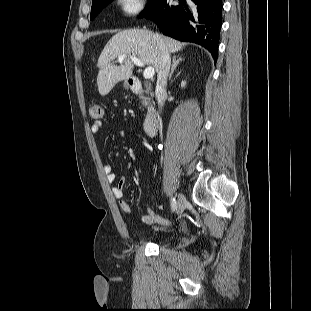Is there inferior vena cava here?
Returning a JSON list of instances; mask_svg holds the SVG:
<instances>
[{"instance_id": "obj_1", "label": "inferior vena cava", "mask_w": 311, "mask_h": 311, "mask_svg": "<svg viewBox=\"0 0 311 311\" xmlns=\"http://www.w3.org/2000/svg\"><path fill=\"white\" fill-rule=\"evenodd\" d=\"M157 44L160 50V62H159V69L157 71V83L155 94L158 106L160 109H162L164 105V98L166 96L167 76L170 70L171 59L169 51L166 48L164 42L161 39H158Z\"/></svg>"}]
</instances>
